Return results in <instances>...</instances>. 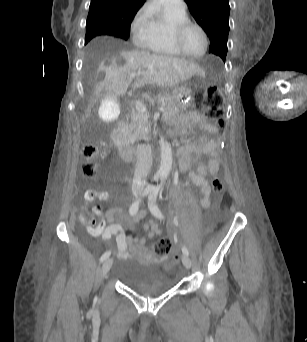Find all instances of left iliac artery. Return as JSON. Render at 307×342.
<instances>
[{
    "instance_id": "44dca946",
    "label": "left iliac artery",
    "mask_w": 307,
    "mask_h": 342,
    "mask_svg": "<svg viewBox=\"0 0 307 342\" xmlns=\"http://www.w3.org/2000/svg\"><path fill=\"white\" fill-rule=\"evenodd\" d=\"M150 189H151V191H150L149 196H148L149 209L155 217L162 219L163 215H162L160 209L158 208V206L156 205V200H157L158 193L160 191V187L159 186H151ZM182 252H183V254H185L187 256L189 255V251H188L187 247H185V246L182 247Z\"/></svg>"
}]
</instances>
